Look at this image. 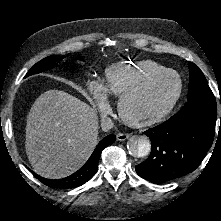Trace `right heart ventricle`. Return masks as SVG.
<instances>
[{
  "instance_id": "1",
  "label": "right heart ventricle",
  "mask_w": 221,
  "mask_h": 221,
  "mask_svg": "<svg viewBox=\"0 0 221 221\" xmlns=\"http://www.w3.org/2000/svg\"><path fill=\"white\" fill-rule=\"evenodd\" d=\"M165 70L164 66L151 60L116 63L105 70V88L109 94L122 96Z\"/></svg>"
}]
</instances>
